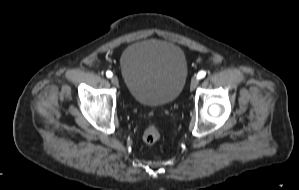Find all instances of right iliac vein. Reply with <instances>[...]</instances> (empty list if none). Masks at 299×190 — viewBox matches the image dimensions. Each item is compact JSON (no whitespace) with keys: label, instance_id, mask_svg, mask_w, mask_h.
Returning a JSON list of instances; mask_svg holds the SVG:
<instances>
[{"label":"right iliac vein","instance_id":"1","mask_svg":"<svg viewBox=\"0 0 299 190\" xmlns=\"http://www.w3.org/2000/svg\"><path fill=\"white\" fill-rule=\"evenodd\" d=\"M111 82L113 85H118V77L117 76H112L111 77Z\"/></svg>","mask_w":299,"mask_h":190}]
</instances>
